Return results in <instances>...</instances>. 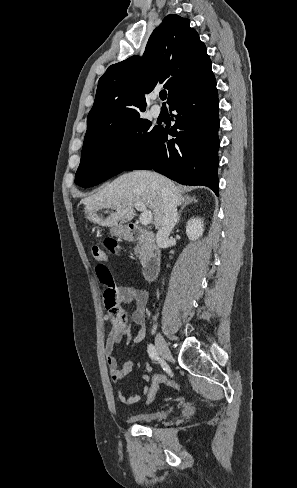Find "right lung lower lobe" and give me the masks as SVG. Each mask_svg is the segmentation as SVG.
Wrapping results in <instances>:
<instances>
[{
  "mask_svg": "<svg viewBox=\"0 0 297 488\" xmlns=\"http://www.w3.org/2000/svg\"><path fill=\"white\" fill-rule=\"evenodd\" d=\"M169 110L177 112L175 124L159 129L126 170L154 169L184 185L208 186L218 195L219 102L214 75L185 91Z\"/></svg>",
  "mask_w": 297,
  "mask_h": 488,
  "instance_id": "right-lung-lower-lobe-1",
  "label": "right lung lower lobe"
}]
</instances>
